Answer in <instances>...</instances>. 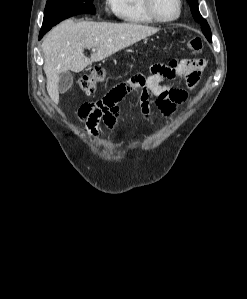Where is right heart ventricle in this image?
<instances>
[{
  "label": "right heart ventricle",
  "instance_id": "1",
  "mask_svg": "<svg viewBox=\"0 0 247 299\" xmlns=\"http://www.w3.org/2000/svg\"><path fill=\"white\" fill-rule=\"evenodd\" d=\"M110 11L121 21L150 25L155 21L148 15L144 0H108Z\"/></svg>",
  "mask_w": 247,
  "mask_h": 299
}]
</instances>
